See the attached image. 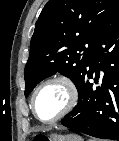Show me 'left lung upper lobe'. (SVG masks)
I'll return each mask as SVG.
<instances>
[{
  "mask_svg": "<svg viewBox=\"0 0 119 141\" xmlns=\"http://www.w3.org/2000/svg\"><path fill=\"white\" fill-rule=\"evenodd\" d=\"M118 10L119 0H50L31 39L25 96L56 72L69 77L78 89L88 72L97 36Z\"/></svg>",
  "mask_w": 119,
  "mask_h": 141,
  "instance_id": "left-lung-upper-lobe-1",
  "label": "left lung upper lobe"
}]
</instances>
